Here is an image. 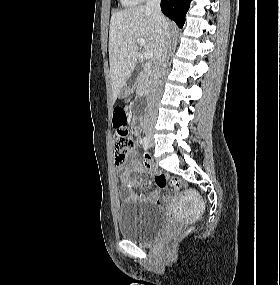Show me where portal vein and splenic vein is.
Returning <instances> with one entry per match:
<instances>
[{
  "label": "portal vein and splenic vein",
  "mask_w": 280,
  "mask_h": 285,
  "mask_svg": "<svg viewBox=\"0 0 280 285\" xmlns=\"http://www.w3.org/2000/svg\"><path fill=\"white\" fill-rule=\"evenodd\" d=\"M137 43L140 44L141 46H143V45H145L146 42L144 39L138 38ZM143 56L146 60H149L153 57V52L152 51H145Z\"/></svg>",
  "instance_id": "obj_1"
}]
</instances>
